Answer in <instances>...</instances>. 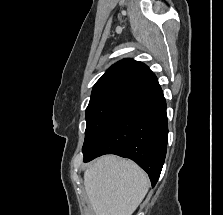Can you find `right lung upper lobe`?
Wrapping results in <instances>:
<instances>
[{
    "label": "right lung upper lobe",
    "mask_w": 223,
    "mask_h": 215,
    "mask_svg": "<svg viewBox=\"0 0 223 215\" xmlns=\"http://www.w3.org/2000/svg\"><path fill=\"white\" fill-rule=\"evenodd\" d=\"M156 76L142 62L124 59L112 65L93 87L91 98L113 91L148 96L159 91Z\"/></svg>",
    "instance_id": "obj_1"
}]
</instances>
